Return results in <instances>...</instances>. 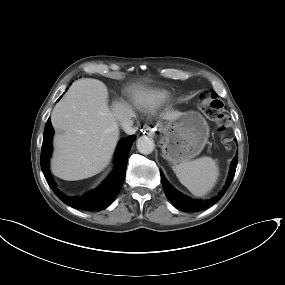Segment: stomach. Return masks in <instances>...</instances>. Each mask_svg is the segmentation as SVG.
Listing matches in <instances>:
<instances>
[{
  "instance_id": "1",
  "label": "stomach",
  "mask_w": 285,
  "mask_h": 285,
  "mask_svg": "<svg viewBox=\"0 0 285 285\" xmlns=\"http://www.w3.org/2000/svg\"><path fill=\"white\" fill-rule=\"evenodd\" d=\"M162 156L173 164L189 161L204 148L209 126L197 112H185L168 119L161 127Z\"/></svg>"
}]
</instances>
